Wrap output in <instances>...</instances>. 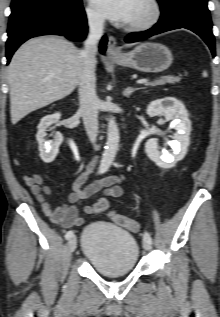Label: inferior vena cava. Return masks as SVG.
I'll return each instance as SVG.
<instances>
[{"label":"inferior vena cava","mask_w":220,"mask_h":317,"mask_svg":"<svg viewBox=\"0 0 220 317\" xmlns=\"http://www.w3.org/2000/svg\"><path fill=\"white\" fill-rule=\"evenodd\" d=\"M104 19L97 14L88 15V36L81 51L83 59L79 77L80 112L84 126L91 143H95L98 136V98L96 95V52L98 43L103 35Z\"/></svg>","instance_id":"602c4592"}]
</instances>
